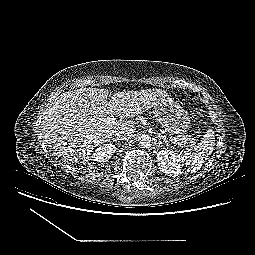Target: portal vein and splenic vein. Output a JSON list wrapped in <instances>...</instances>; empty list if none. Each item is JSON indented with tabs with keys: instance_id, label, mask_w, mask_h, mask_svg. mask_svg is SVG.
Masks as SVG:
<instances>
[{
	"instance_id": "1",
	"label": "portal vein and splenic vein",
	"mask_w": 255,
	"mask_h": 255,
	"mask_svg": "<svg viewBox=\"0 0 255 255\" xmlns=\"http://www.w3.org/2000/svg\"><path fill=\"white\" fill-rule=\"evenodd\" d=\"M95 121L99 124H112V123H116L117 120L114 117H107V118H97ZM163 139L169 140L173 144H176L177 142L176 138H167L166 136H163Z\"/></svg>"
}]
</instances>
